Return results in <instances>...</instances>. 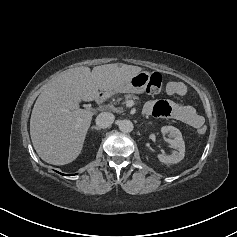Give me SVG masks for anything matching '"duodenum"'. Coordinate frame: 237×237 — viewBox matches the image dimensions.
<instances>
[{
    "label": "duodenum",
    "instance_id": "obj_1",
    "mask_svg": "<svg viewBox=\"0 0 237 237\" xmlns=\"http://www.w3.org/2000/svg\"><path fill=\"white\" fill-rule=\"evenodd\" d=\"M104 101H105L104 95L98 94L97 97H96V102H97V104L101 105V104L104 103Z\"/></svg>",
    "mask_w": 237,
    "mask_h": 237
}]
</instances>
